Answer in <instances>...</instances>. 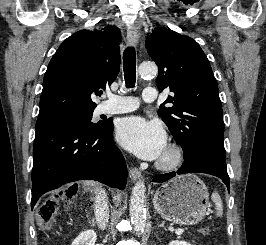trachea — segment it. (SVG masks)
<instances>
[{
  "mask_svg": "<svg viewBox=\"0 0 266 245\" xmlns=\"http://www.w3.org/2000/svg\"><path fill=\"white\" fill-rule=\"evenodd\" d=\"M123 70L127 88H133L136 81V54L134 48H126L123 55Z\"/></svg>",
  "mask_w": 266,
  "mask_h": 245,
  "instance_id": "1",
  "label": "trachea"
}]
</instances>
